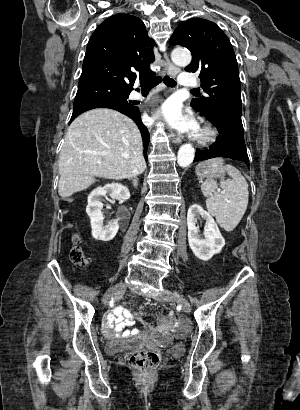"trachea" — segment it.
Masks as SVG:
<instances>
[{
    "label": "trachea",
    "mask_w": 300,
    "mask_h": 410,
    "mask_svg": "<svg viewBox=\"0 0 300 410\" xmlns=\"http://www.w3.org/2000/svg\"><path fill=\"white\" fill-rule=\"evenodd\" d=\"M162 80L168 87H175L177 84L175 80L170 78L169 76H165L163 77V79L160 76H155L141 81V89L143 91H150L152 88L157 86ZM191 91L198 92V90L195 89Z\"/></svg>",
    "instance_id": "1"
}]
</instances>
